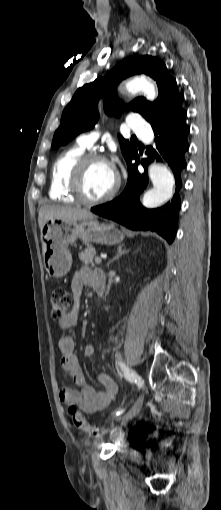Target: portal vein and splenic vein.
<instances>
[{
	"label": "portal vein and splenic vein",
	"instance_id": "18ae733b",
	"mask_svg": "<svg viewBox=\"0 0 221 510\" xmlns=\"http://www.w3.org/2000/svg\"><path fill=\"white\" fill-rule=\"evenodd\" d=\"M95 263L96 264H101L102 263V258L101 257H96L95 258Z\"/></svg>",
	"mask_w": 221,
	"mask_h": 510
}]
</instances>
